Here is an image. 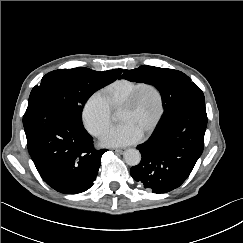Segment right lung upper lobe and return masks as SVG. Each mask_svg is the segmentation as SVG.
<instances>
[{
  "label": "right lung upper lobe",
  "instance_id": "right-lung-upper-lobe-1",
  "mask_svg": "<svg viewBox=\"0 0 243 243\" xmlns=\"http://www.w3.org/2000/svg\"><path fill=\"white\" fill-rule=\"evenodd\" d=\"M105 72L114 75V77H116V79H117L120 76L122 69L109 70V71H105Z\"/></svg>",
  "mask_w": 243,
  "mask_h": 243
}]
</instances>
